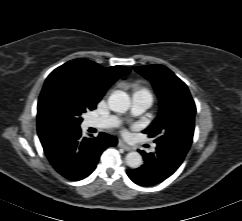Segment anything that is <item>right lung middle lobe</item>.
Returning a JSON list of instances; mask_svg holds the SVG:
<instances>
[{
	"instance_id": "obj_1",
	"label": "right lung middle lobe",
	"mask_w": 242,
	"mask_h": 221,
	"mask_svg": "<svg viewBox=\"0 0 242 221\" xmlns=\"http://www.w3.org/2000/svg\"><path fill=\"white\" fill-rule=\"evenodd\" d=\"M53 121L52 125L58 131L75 130L80 128L81 115L87 110L96 108V104L90 105L81 97L58 92L51 100Z\"/></svg>"
}]
</instances>
